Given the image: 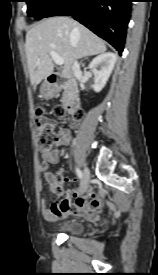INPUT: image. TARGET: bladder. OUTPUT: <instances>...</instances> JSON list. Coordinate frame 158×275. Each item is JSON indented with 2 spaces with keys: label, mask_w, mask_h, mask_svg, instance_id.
Returning <instances> with one entry per match:
<instances>
[{
  "label": "bladder",
  "mask_w": 158,
  "mask_h": 275,
  "mask_svg": "<svg viewBox=\"0 0 158 275\" xmlns=\"http://www.w3.org/2000/svg\"><path fill=\"white\" fill-rule=\"evenodd\" d=\"M55 231L60 234L79 236L82 235L85 231V226L83 222L79 220H67L59 223L55 227Z\"/></svg>",
  "instance_id": "obj_1"
}]
</instances>
